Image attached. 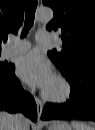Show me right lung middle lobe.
Listing matches in <instances>:
<instances>
[{"label": "right lung middle lobe", "instance_id": "1", "mask_svg": "<svg viewBox=\"0 0 95 130\" xmlns=\"http://www.w3.org/2000/svg\"><path fill=\"white\" fill-rule=\"evenodd\" d=\"M10 70V66H5L3 63H0V75L7 73Z\"/></svg>", "mask_w": 95, "mask_h": 130}]
</instances>
